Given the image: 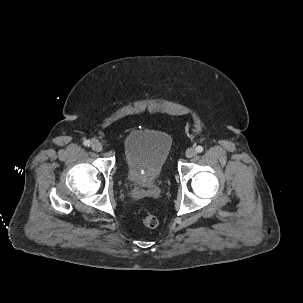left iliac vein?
Segmentation results:
<instances>
[{"label":"left iliac vein","mask_w":303,"mask_h":303,"mask_svg":"<svg viewBox=\"0 0 303 303\" xmlns=\"http://www.w3.org/2000/svg\"><path fill=\"white\" fill-rule=\"evenodd\" d=\"M185 154L187 158H192L196 155V150L194 148H188Z\"/></svg>","instance_id":"4c4485c4"}]
</instances>
